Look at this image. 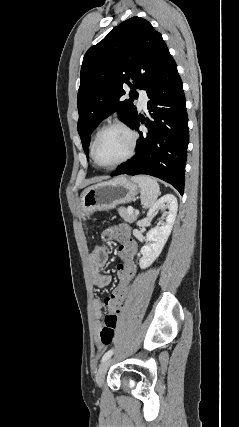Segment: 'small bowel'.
Returning <instances> with one entry per match:
<instances>
[{
  "instance_id": "obj_1",
  "label": "small bowel",
  "mask_w": 239,
  "mask_h": 427,
  "mask_svg": "<svg viewBox=\"0 0 239 427\" xmlns=\"http://www.w3.org/2000/svg\"><path fill=\"white\" fill-rule=\"evenodd\" d=\"M108 256L109 250L105 247L96 248L89 254V268L92 277V284L95 288H105L111 283L112 277L109 274L102 272V269L107 264ZM104 305V301L99 298H96L93 302L94 317L97 321L102 318ZM105 306L107 307L108 305ZM97 326L100 327L99 322L97 323ZM99 347L101 348L102 345H99Z\"/></svg>"
}]
</instances>
